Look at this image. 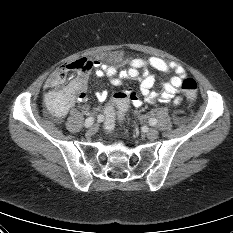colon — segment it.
Here are the masks:
<instances>
[{
  "mask_svg": "<svg viewBox=\"0 0 233 233\" xmlns=\"http://www.w3.org/2000/svg\"><path fill=\"white\" fill-rule=\"evenodd\" d=\"M92 68V62L81 58L64 64L58 68L52 76V84L59 87L65 82H77L88 76ZM181 90L188 99L193 100L197 95L198 85L192 78L183 79ZM129 107V99L125 91L113 95L103 116V125L107 132H112L116 123L121 121Z\"/></svg>",
  "mask_w": 233,
  "mask_h": 233,
  "instance_id": "colon-1",
  "label": "colon"
}]
</instances>
